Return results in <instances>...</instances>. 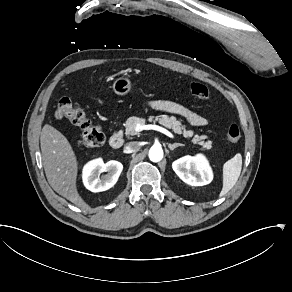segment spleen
<instances>
[{"label": "spleen", "mask_w": 292, "mask_h": 292, "mask_svg": "<svg viewBox=\"0 0 292 292\" xmlns=\"http://www.w3.org/2000/svg\"><path fill=\"white\" fill-rule=\"evenodd\" d=\"M242 169V155L236 153L222 167V190L219 197L225 196L236 184Z\"/></svg>", "instance_id": "obj_1"}]
</instances>
